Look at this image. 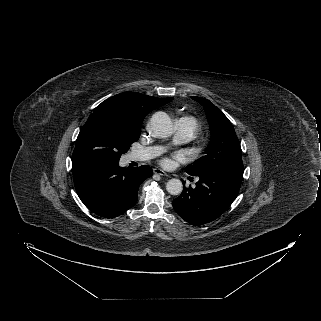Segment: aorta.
Instances as JSON below:
<instances>
[{
  "label": "aorta",
  "instance_id": "obj_1",
  "mask_svg": "<svg viewBox=\"0 0 321 321\" xmlns=\"http://www.w3.org/2000/svg\"><path fill=\"white\" fill-rule=\"evenodd\" d=\"M153 134L159 138H166L173 133V123L170 117L162 111L153 114L150 120ZM166 190L171 195H179L183 191V184L179 179H171L166 184Z\"/></svg>",
  "mask_w": 321,
  "mask_h": 321
}]
</instances>
